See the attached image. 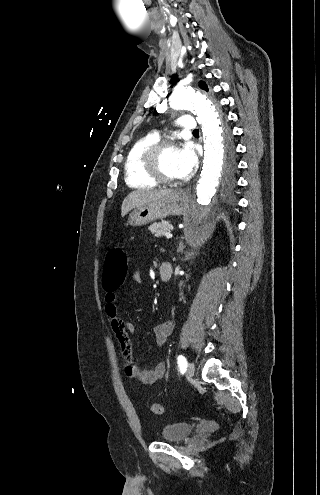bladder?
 Masks as SVG:
<instances>
[{"instance_id":"31cf9c89","label":"bladder","mask_w":320,"mask_h":495,"mask_svg":"<svg viewBox=\"0 0 320 495\" xmlns=\"http://www.w3.org/2000/svg\"><path fill=\"white\" fill-rule=\"evenodd\" d=\"M193 428L188 422L170 423L162 428L160 438L166 442H180L193 432Z\"/></svg>"}]
</instances>
